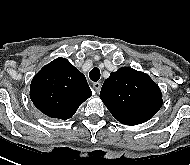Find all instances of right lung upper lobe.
Wrapping results in <instances>:
<instances>
[{
  "instance_id": "1",
  "label": "right lung upper lobe",
  "mask_w": 190,
  "mask_h": 165,
  "mask_svg": "<svg viewBox=\"0 0 190 165\" xmlns=\"http://www.w3.org/2000/svg\"><path fill=\"white\" fill-rule=\"evenodd\" d=\"M85 76L67 59L57 58L32 79L30 98L51 118L67 120L91 96Z\"/></svg>"
}]
</instances>
